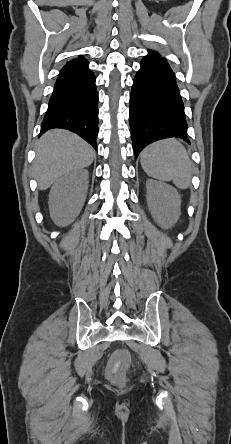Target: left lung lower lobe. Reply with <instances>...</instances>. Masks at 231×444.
Returning a JSON list of instances; mask_svg holds the SVG:
<instances>
[{"instance_id":"obj_1","label":"left lung lower lobe","mask_w":231,"mask_h":444,"mask_svg":"<svg viewBox=\"0 0 231 444\" xmlns=\"http://www.w3.org/2000/svg\"><path fill=\"white\" fill-rule=\"evenodd\" d=\"M129 122L136 157L146 145L160 139L176 137L190 143L175 74L166 59L151 50L133 80Z\"/></svg>"}]
</instances>
